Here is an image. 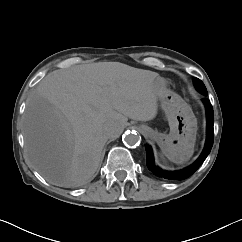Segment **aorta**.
<instances>
[{"label":"aorta","instance_id":"762f6f07","mask_svg":"<svg viewBox=\"0 0 242 242\" xmlns=\"http://www.w3.org/2000/svg\"><path fill=\"white\" fill-rule=\"evenodd\" d=\"M122 140L125 145L133 147L140 144L141 137L136 132H126Z\"/></svg>","mask_w":242,"mask_h":242}]
</instances>
